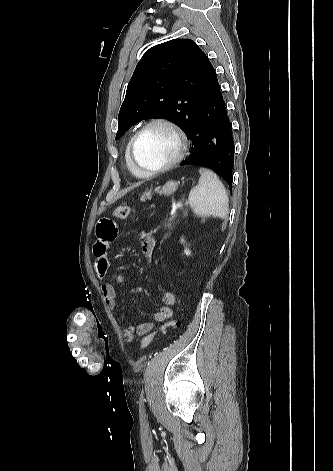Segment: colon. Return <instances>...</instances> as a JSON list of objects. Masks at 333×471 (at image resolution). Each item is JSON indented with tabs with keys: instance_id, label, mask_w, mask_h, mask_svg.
I'll return each instance as SVG.
<instances>
[{
	"instance_id": "obj_1",
	"label": "colon",
	"mask_w": 333,
	"mask_h": 471,
	"mask_svg": "<svg viewBox=\"0 0 333 471\" xmlns=\"http://www.w3.org/2000/svg\"><path fill=\"white\" fill-rule=\"evenodd\" d=\"M113 213L117 218H127L131 214V208L126 205L118 206L114 209ZM179 326L180 322L177 319H171L170 321L164 323L157 331L145 336L140 343V348L144 349L148 347L159 333L165 332L168 328H177Z\"/></svg>"
}]
</instances>
